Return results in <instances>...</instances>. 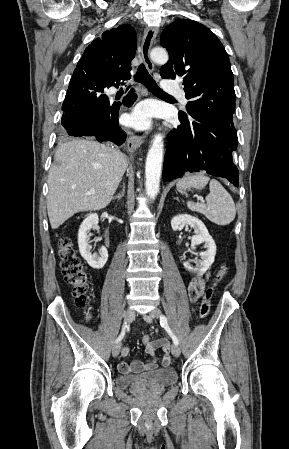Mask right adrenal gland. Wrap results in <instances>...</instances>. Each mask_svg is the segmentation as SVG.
Instances as JSON below:
<instances>
[{"label": "right adrenal gland", "instance_id": "1", "mask_svg": "<svg viewBox=\"0 0 289 449\" xmlns=\"http://www.w3.org/2000/svg\"><path fill=\"white\" fill-rule=\"evenodd\" d=\"M125 194V185L123 183L122 191L113 197V200H120Z\"/></svg>", "mask_w": 289, "mask_h": 449}]
</instances>
